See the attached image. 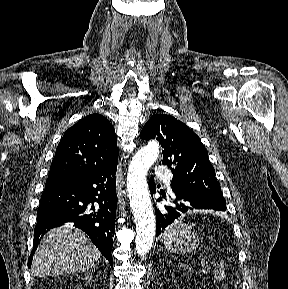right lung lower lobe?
I'll list each match as a JSON object with an SVG mask.
<instances>
[{
	"instance_id": "obj_1",
	"label": "right lung lower lobe",
	"mask_w": 288,
	"mask_h": 289,
	"mask_svg": "<svg viewBox=\"0 0 288 289\" xmlns=\"http://www.w3.org/2000/svg\"><path fill=\"white\" fill-rule=\"evenodd\" d=\"M117 162L95 172L45 184L37 210L33 253L41 236L51 228L74 224L89 236L113 265L111 250L117 207L115 174Z\"/></svg>"
}]
</instances>
